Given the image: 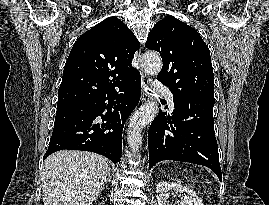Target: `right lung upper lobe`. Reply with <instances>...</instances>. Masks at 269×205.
Listing matches in <instances>:
<instances>
[{"label":"right lung upper lobe","mask_w":269,"mask_h":205,"mask_svg":"<svg viewBox=\"0 0 269 205\" xmlns=\"http://www.w3.org/2000/svg\"><path fill=\"white\" fill-rule=\"evenodd\" d=\"M140 44L126 25L109 17L75 42L65 63L57 105L114 92L137 72L131 62Z\"/></svg>","instance_id":"right-lung-upper-lobe-1"}]
</instances>
